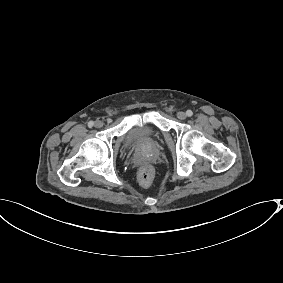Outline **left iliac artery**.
<instances>
[{"mask_svg":"<svg viewBox=\"0 0 283 283\" xmlns=\"http://www.w3.org/2000/svg\"><path fill=\"white\" fill-rule=\"evenodd\" d=\"M186 114H187L188 117H191L193 115V112H192V110H187Z\"/></svg>","mask_w":283,"mask_h":283,"instance_id":"obj_1","label":"left iliac artery"}]
</instances>
